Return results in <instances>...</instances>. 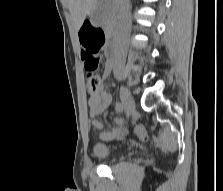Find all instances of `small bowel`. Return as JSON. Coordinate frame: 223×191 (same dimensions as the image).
Wrapping results in <instances>:
<instances>
[{"label":"small bowel","mask_w":223,"mask_h":191,"mask_svg":"<svg viewBox=\"0 0 223 191\" xmlns=\"http://www.w3.org/2000/svg\"><path fill=\"white\" fill-rule=\"evenodd\" d=\"M113 67L114 63L111 64L110 61L107 60L103 72L104 82H106L109 79L113 71ZM111 102H112V95L105 86L97 91L92 92L88 99L89 117L92 119L91 122L92 128L96 131L100 139L106 141L115 139L125 131L124 127L126 120L124 118L114 119L116 127L110 130H103L101 121L96 118L108 108Z\"/></svg>","instance_id":"obj_1"}]
</instances>
